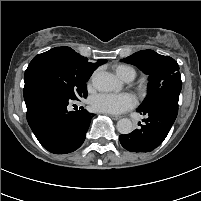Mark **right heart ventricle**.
<instances>
[{
	"mask_svg": "<svg viewBox=\"0 0 201 201\" xmlns=\"http://www.w3.org/2000/svg\"><path fill=\"white\" fill-rule=\"evenodd\" d=\"M115 72L124 81H132L136 76L135 69L129 65H118Z\"/></svg>",
	"mask_w": 201,
	"mask_h": 201,
	"instance_id": "e07e8e85",
	"label": "right heart ventricle"
}]
</instances>
